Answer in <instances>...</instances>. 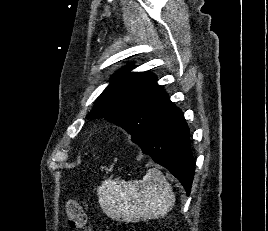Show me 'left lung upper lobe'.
Wrapping results in <instances>:
<instances>
[{
	"mask_svg": "<svg viewBox=\"0 0 268 231\" xmlns=\"http://www.w3.org/2000/svg\"><path fill=\"white\" fill-rule=\"evenodd\" d=\"M129 71L123 68L114 75L86 118L105 117L138 142L146 138L175 105L152 73Z\"/></svg>",
	"mask_w": 268,
	"mask_h": 231,
	"instance_id": "1",
	"label": "left lung upper lobe"
}]
</instances>
